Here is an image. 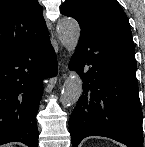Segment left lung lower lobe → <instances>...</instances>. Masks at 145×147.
<instances>
[{"label":"left lung lower lobe","mask_w":145,"mask_h":147,"mask_svg":"<svg viewBox=\"0 0 145 147\" xmlns=\"http://www.w3.org/2000/svg\"><path fill=\"white\" fill-rule=\"evenodd\" d=\"M69 67L75 68L83 81V95L69 120L73 147L88 136L143 147L132 35L120 30L81 28Z\"/></svg>","instance_id":"left-lung-lower-lobe-1"}]
</instances>
